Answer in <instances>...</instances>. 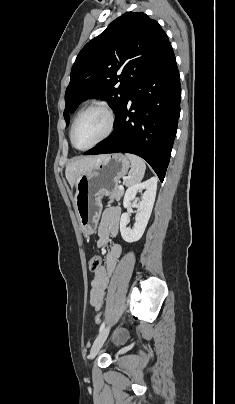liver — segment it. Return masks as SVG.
I'll list each match as a JSON object with an SVG mask.
<instances>
[{"instance_id":"1","label":"liver","mask_w":235,"mask_h":404,"mask_svg":"<svg viewBox=\"0 0 235 404\" xmlns=\"http://www.w3.org/2000/svg\"><path fill=\"white\" fill-rule=\"evenodd\" d=\"M105 157L106 155L81 157L69 163L66 166L65 176L71 188L75 185V181L78 177L91 170Z\"/></svg>"}]
</instances>
